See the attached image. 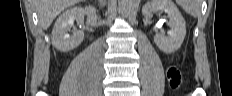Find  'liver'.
<instances>
[{
  "label": "liver",
  "mask_w": 232,
  "mask_h": 96,
  "mask_svg": "<svg viewBox=\"0 0 232 96\" xmlns=\"http://www.w3.org/2000/svg\"><path fill=\"white\" fill-rule=\"evenodd\" d=\"M80 1L81 0H35L40 26L46 30L60 12Z\"/></svg>",
  "instance_id": "obj_1"
}]
</instances>
